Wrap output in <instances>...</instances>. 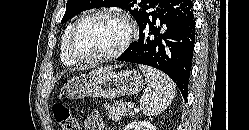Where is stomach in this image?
Here are the masks:
<instances>
[{"instance_id": "1", "label": "stomach", "mask_w": 249, "mask_h": 130, "mask_svg": "<svg viewBox=\"0 0 249 130\" xmlns=\"http://www.w3.org/2000/svg\"><path fill=\"white\" fill-rule=\"evenodd\" d=\"M143 75L137 70H98L65 87L69 99L84 97L120 98L137 94L144 87Z\"/></svg>"}]
</instances>
